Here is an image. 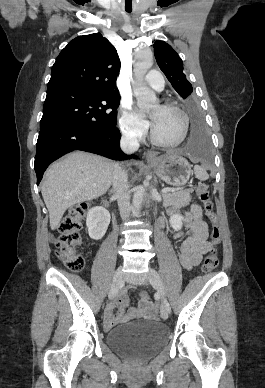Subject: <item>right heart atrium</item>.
Instances as JSON below:
<instances>
[{
    "label": "right heart atrium",
    "mask_w": 265,
    "mask_h": 388,
    "mask_svg": "<svg viewBox=\"0 0 265 388\" xmlns=\"http://www.w3.org/2000/svg\"><path fill=\"white\" fill-rule=\"evenodd\" d=\"M122 124L126 131L136 139L143 138L149 129L148 122L137 112L134 111L132 103L124 100L121 103Z\"/></svg>",
    "instance_id": "1"
}]
</instances>
